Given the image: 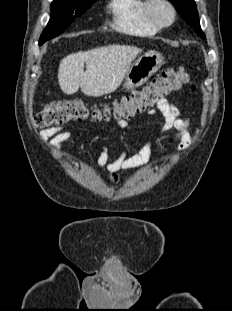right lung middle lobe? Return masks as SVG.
Masks as SVG:
<instances>
[{"mask_svg": "<svg viewBox=\"0 0 232 311\" xmlns=\"http://www.w3.org/2000/svg\"><path fill=\"white\" fill-rule=\"evenodd\" d=\"M96 0H53L51 17L44 29L39 44L60 35L78 16L83 14Z\"/></svg>", "mask_w": 232, "mask_h": 311, "instance_id": "dd1d6c3e", "label": "right lung middle lobe"}]
</instances>
